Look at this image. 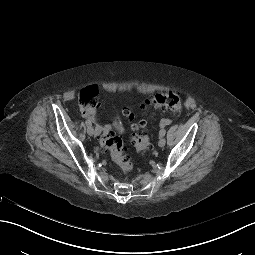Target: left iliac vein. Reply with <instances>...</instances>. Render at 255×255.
<instances>
[{"mask_svg":"<svg viewBox=\"0 0 255 255\" xmlns=\"http://www.w3.org/2000/svg\"><path fill=\"white\" fill-rule=\"evenodd\" d=\"M165 144H166L165 138L161 137L159 142H158L159 147H164Z\"/></svg>","mask_w":255,"mask_h":255,"instance_id":"left-iliac-vein-1","label":"left iliac vein"}]
</instances>
